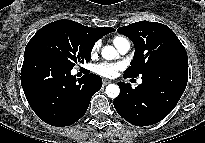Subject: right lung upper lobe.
<instances>
[{"instance_id": "obj_1", "label": "right lung upper lobe", "mask_w": 205, "mask_h": 143, "mask_svg": "<svg viewBox=\"0 0 205 143\" xmlns=\"http://www.w3.org/2000/svg\"><path fill=\"white\" fill-rule=\"evenodd\" d=\"M77 23V22H76ZM79 27L82 28V30L94 41L96 42L99 38L102 36L115 31V29L111 27H97L92 28L88 26L81 25L80 23H77Z\"/></svg>"}]
</instances>
